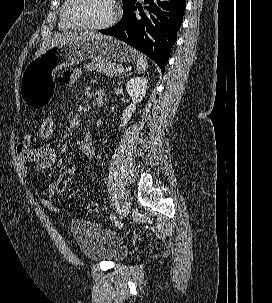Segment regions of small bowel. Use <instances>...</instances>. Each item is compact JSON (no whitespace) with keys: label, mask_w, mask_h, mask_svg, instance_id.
Here are the masks:
<instances>
[{"label":"small bowel","mask_w":272,"mask_h":303,"mask_svg":"<svg viewBox=\"0 0 272 303\" xmlns=\"http://www.w3.org/2000/svg\"><path fill=\"white\" fill-rule=\"evenodd\" d=\"M79 77L78 71H68L62 73L59 80L64 85L73 84ZM80 151L88 158L95 156V147L90 136L84 137L79 145ZM16 154L19 167L22 172L29 175V164L36 163L37 171H43L57 163L58 155L56 150L49 144L35 145L33 142V135L25 133L21 136L17 147ZM54 183H50L47 187V193L39 197L40 203L48 210L57 212L52 199L56 195Z\"/></svg>","instance_id":"c3829d8e"}]
</instances>
